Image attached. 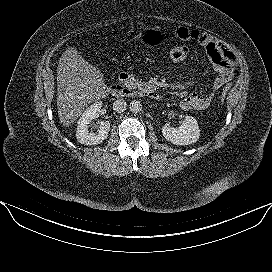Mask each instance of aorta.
Instances as JSON below:
<instances>
[{"label": "aorta", "mask_w": 272, "mask_h": 272, "mask_svg": "<svg viewBox=\"0 0 272 272\" xmlns=\"http://www.w3.org/2000/svg\"><path fill=\"white\" fill-rule=\"evenodd\" d=\"M141 110H142V104H141L140 101H138V100L131 101V103H130V111L132 113H139V112H141Z\"/></svg>", "instance_id": "762f6f07"}]
</instances>
